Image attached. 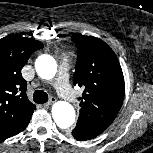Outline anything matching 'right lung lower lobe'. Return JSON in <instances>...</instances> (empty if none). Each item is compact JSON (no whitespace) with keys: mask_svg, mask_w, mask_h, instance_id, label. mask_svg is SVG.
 <instances>
[{"mask_svg":"<svg viewBox=\"0 0 153 153\" xmlns=\"http://www.w3.org/2000/svg\"><path fill=\"white\" fill-rule=\"evenodd\" d=\"M26 126H27V125H25L24 128H23L21 131H23V130L25 129ZM21 131H19V132H21ZM19 132H18V133H19ZM18 133H17V134H18Z\"/></svg>","mask_w":153,"mask_h":153,"instance_id":"obj_1","label":"right lung lower lobe"}]
</instances>
